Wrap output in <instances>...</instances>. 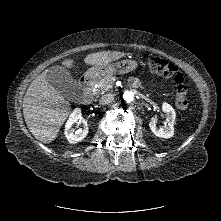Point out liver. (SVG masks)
<instances>
[{
  "label": "liver",
  "instance_id": "liver-1",
  "mask_svg": "<svg viewBox=\"0 0 221 221\" xmlns=\"http://www.w3.org/2000/svg\"><path fill=\"white\" fill-rule=\"evenodd\" d=\"M125 56L119 51H102L86 56L87 65L102 67ZM73 60L62 64L73 67ZM48 70V69H47ZM47 70L38 75L28 87L23 99V114L33 136L42 143H51L71 112V106L47 81Z\"/></svg>",
  "mask_w": 221,
  "mask_h": 221
}]
</instances>
